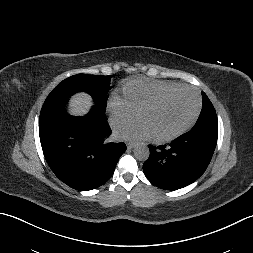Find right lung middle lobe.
Returning <instances> with one entry per match:
<instances>
[{
	"instance_id": "1",
	"label": "right lung middle lobe",
	"mask_w": 253,
	"mask_h": 253,
	"mask_svg": "<svg viewBox=\"0 0 253 253\" xmlns=\"http://www.w3.org/2000/svg\"><path fill=\"white\" fill-rule=\"evenodd\" d=\"M112 76L77 74L60 82L48 95L46 102L67 99L77 92H87L96 106L105 111Z\"/></svg>"
}]
</instances>
